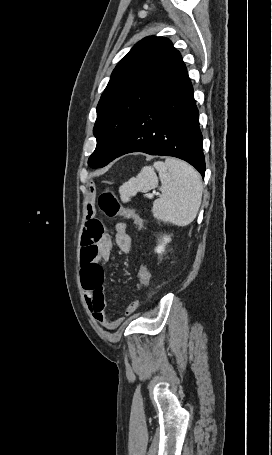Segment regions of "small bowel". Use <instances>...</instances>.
Returning a JSON list of instances; mask_svg holds the SVG:
<instances>
[{
	"label": "small bowel",
	"mask_w": 272,
	"mask_h": 455,
	"mask_svg": "<svg viewBox=\"0 0 272 455\" xmlns=\"http://www.w3.org/2000/svg\"><path fill=\"white\" fill-rule=\"evenodd\" d=\"M115 243L122 253H130L131 236L125 223H118L115 226ZM111 249L110 235L105 232L102 223L88 213L81 238V279L85 299L96 321L103 327L114 330L122 323L124 317L112 320L107 313L103 265L109 259ZM137 289L141 291L139 282ZM137 305V301L131 302L125 314L132 313Z\"/></svg>",
	"instance_id": "1"
}]
</instances>
